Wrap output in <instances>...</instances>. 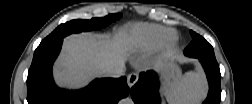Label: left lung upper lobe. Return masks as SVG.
Returning <instances> with one entry per match:
<instances>
[{"mask_svg":"<svg viewBox=\"0 0 252 104\" xmlns=\"http://www.w3.org/2000/svg\"><path fill=\"white\" fill-rule=\"evenodd\" d=\"M190 33L192 42L185 49L186 56L215 59L213 47L202 36L193 31H190Z\"/></svg>","mask_w":252,"mask_h":104,"instance_id":"left-lung-upper-lobe-1","label":"left lung upper lobe"}]
</instances>
